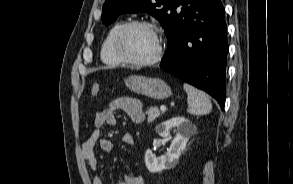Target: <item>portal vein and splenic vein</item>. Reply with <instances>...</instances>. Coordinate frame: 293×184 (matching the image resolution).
Wrapping results in <instances>:
<instances>
[{
  "instance_id": "obj_1",
  "label": "portal vein and splenic vein",
  "mask_w": 293,
  "mask_h": 184,
  "mask_svg": "<svg viewBox=\"0 0 293 184\" xmlns=\"http://www.w3.org/2000/svg\"><path fill=\"white\" fill-rule=\"evenodd\" d=\"M160 110H161V111H166V107H165L164 105H162V106L160 107Z\"/></svg>"
}]
</instances>
